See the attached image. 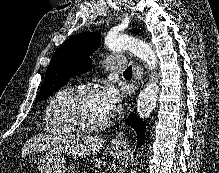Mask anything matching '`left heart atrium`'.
<instances>
[{
    "instance_id": "obj_1",
    "label": "left heart atrium",
    "mask_w": 219,
    "mask_h": 173,
    "mask_svg": "<svg viewBox=\"0 0 219 173\" xmlns=\"http://www.w3.org/2000/svg\"><path fill=\"white\" fill-rule=\"evenodd\" d=\"M97 95L102 108L108 116L114 114L119 109L121 97L118 90L113 85H105L97 92Z\"/></svg>"
}]
</instances>
